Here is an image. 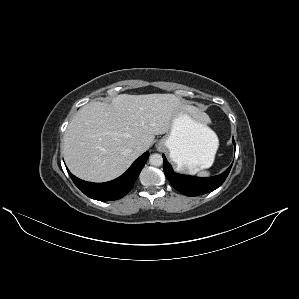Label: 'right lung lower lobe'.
I'll use <instances>...</instances> for the list:
<instances>
[{
  "label": "right lung lower lobe",
  "instance_id": "obj_1",
  "mask_svg": "<svg viewBox=\"0 0 299 299\" xmlns=\"http://www.w3.org/2000/svg\"><path fill=\"white\" fill-rule=\"evenodd\" d=\"M149 157V152L140 156L131 167L120 177L105 183L83 181L69 171L74 184L88 197L99 201H112L125 196L132 188L143 166Z\"/></svg>",
  "mask_w": 299,
  "mask_h": 299
}]
</instances>
